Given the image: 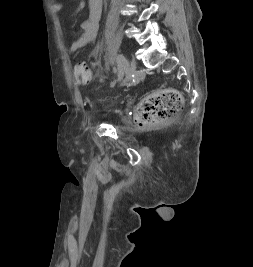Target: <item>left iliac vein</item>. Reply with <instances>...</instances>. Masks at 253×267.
I'll list each match as a JSON object with an SVG mask.
<instances>
[{
	"mask_svg": "<svg viewBox=\"0 0 253 267\" xmlns=\"http://www.w3.org/2000/svg\"><path fill=\"white\" fill-rule=\"evenodd\" d=\"M121 56H123L122 54H118L117 58H120ZM126 72V81L128 83L131 84H136V77H135V73H136V65L135 62H126V67L125 70Z\"/></svg>",
	"mask_w": 253,
	"mask_h": 267,
	"instance_id": "obj_1",
	"label": "left iliac vein"
}]
</instances>
